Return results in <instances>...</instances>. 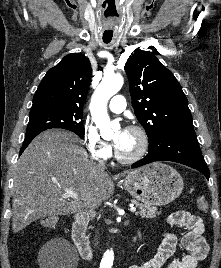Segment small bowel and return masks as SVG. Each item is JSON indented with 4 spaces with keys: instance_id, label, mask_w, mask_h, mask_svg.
<instances>
[{
    "instance_id": "c3829d8e",
    "label": "small bowel",
    "mask_w": 221,
    "mask_h": 268,
    "mask_svg": "<svg viewBox=\"0 0 221 268\" xmlns=\"http://www.w3.org/2000/svg\"><path fill=\"white\" fill-rule=\"evenodd\" d=\"M167 224L186 228L181 239V245L186 254L181 259H171L178 239L172 233H163L162 241L153 258L142 264L132 265L130 268H198L209 252V246L203 237L205 230L202 219L190 212L179 210L170 214Z\"/></svg>"
}]
</instances>
